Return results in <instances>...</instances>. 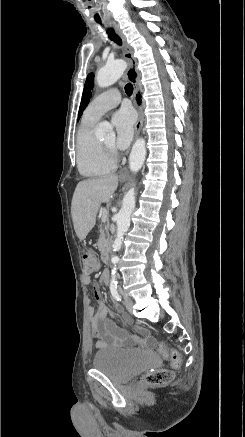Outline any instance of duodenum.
<instances>
[{
    "label": "duodenum",
    "mask_w": 245,
    "mask_h": 437,
    "mask_svg": "<svg viewBox=\"0 0 245 437\" xmlns=\"http://www.w3.org/2000/svg\"><path fill=\"white\" fill-rule=\"evenodd\" d=\"M101 257H102V260L105 263H107L109 261V252H108V250L106 248H102V250H101ZM102 276H103V279H104L105 282L108 281L109 274H108V272L106 270L103 272Z\"/></svg>",
    "instance_id": "410a0bca"
}]
</instances>
